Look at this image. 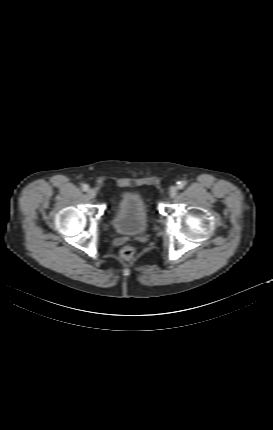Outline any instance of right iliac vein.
I'll return each instance as SVG.
<instances>
[{"label":"right iliac vein","mask_w":273,"mask_h":430,"mask_svg":"<svg viewBox=\"0 0 273 430\" xmlns=\"http://www.w3.org/2000/svg\"><path fill=\"white\" fill-rule=\"evenodd\" d=\"M87 196L88 198L93 199L96 196V191L94 189H89L87 191Z\"/></svg>","instance_id":"63e3f726"}]
</instances>
